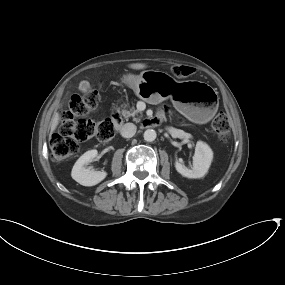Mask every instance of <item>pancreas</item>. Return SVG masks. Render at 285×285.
<instances>
[{
  "mask_svg": "<svg viewBox=\"0 0 285 285\" xmlns=\"http://www.w3.org/2000/svg\"><path fill=\"white\" fill-rule=\"evenodd\" d=\"M121 108H122L121 114L125 119H128L129 117H133L134 121L139 122L140 119L135 118V115H137L139 111L136 110L134 106L129 110L127 109V105H122Z\"/></svg>",
  "mask_w": 285,
  "mask_h": 285,
  "instance_id": "pancreas-1",
  "label": "pancreas"
}]
</instances>
